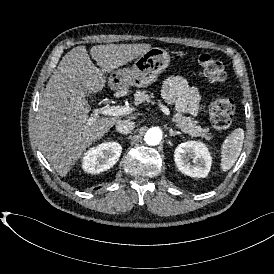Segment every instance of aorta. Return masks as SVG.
<instances>
[{
	"instance_id": "762f6f07",
	"label": "aorta",
	"mask_w": 274,
	"mask_h": 274,
	"mask_svg": "<svg viewBox=\"0 0 274 274\" xmlns=\"http://www.w3.org/2000/svg\"><path fill=\"white\" fill-rule=\"evenodd\" d=\"M162 139V131L158 127H151L147 130L144 140L148 145L155 146L160 143Z\"/></svg>"
}]
</instances>
